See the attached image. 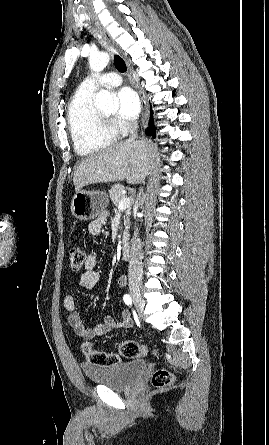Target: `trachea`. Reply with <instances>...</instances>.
Returning a JSON list of instances; mask_svg holds the SVG:
<instances>
[{"label": "trachea", "instance_id": "trachea-1", "mask_svg": "<svg viewBox=\"0 0 269 445\" xmlns=\"http://www.w3.org/2000/svg\"><path fill=\"white\" fill-rule=\"evenodd\" d=\"M114 65L119 72L124 73L126 71L124 60L117 54L114 55Z\"/></svg>", "mask_w": 269, "mask_h": 445}]
</instances>
